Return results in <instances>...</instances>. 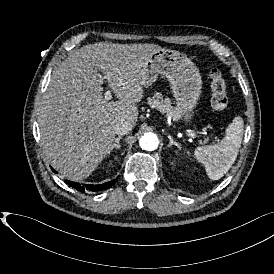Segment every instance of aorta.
<instances>
[{
	"mask_svg": "<svg viewBox=\"0 0 274 274\" xmlns=\"http://www.w3.org/2000/svg\"><path fill=\"white\" fill-rule=\"evenodd\" d=\"M159 140L156 134L148 132L145 133L139 140V145L143 150L153 151L158 147Z\"/></svg>",
	"mask_w": 274,
	"mask_h": 274,
	"instance_id": "aorta-1",
	"label": "aorta"
}]
</instances>
